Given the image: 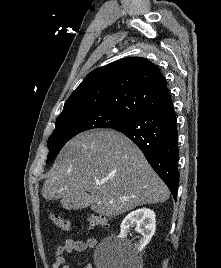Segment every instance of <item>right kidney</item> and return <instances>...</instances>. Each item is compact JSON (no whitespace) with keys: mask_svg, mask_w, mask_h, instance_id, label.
<instances>
[{"mask_svg":"<svg viewBox=\"0 0 221 268\" xmlns=\"http://www.w3.org/2000/svg\"><path fill=\"white\" fill-rule=\"evenodd\" d=\"M132 227H135V231L142 236L140 240L133 245V251L139 253L149 243L155 233V213L146 208L137 209L129 213L121 223V232L118 236L119 239L127 242L128 240L126 237Z\"/></svg>","mask_w":221,"mask_h":268,"instance_id":"ca27d5eb","label":"right kidney"}]
</instances>
